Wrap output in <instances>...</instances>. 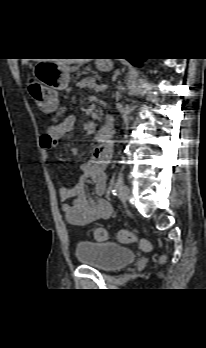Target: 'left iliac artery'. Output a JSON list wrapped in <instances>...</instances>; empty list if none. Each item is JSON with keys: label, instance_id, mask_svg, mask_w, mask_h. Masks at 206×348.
I'll use <instances>...</instances> for the list:
<instances>
[{"label": "left iliac artery", "instance_id": "1", "mask_svg": "<svg viewBox=\"0 0 206 348\" xmlns=\"http://www.w3.org/2000/svg\"><path fill=\"white\" fill-rule=\"evenodd\" d=\"M123 185H124V176L120 172L117 176L116 183L114 184V187L112 190L113 195H117L120 192Z\"/></svg>", "mask_w": 206, "mask_h": 348}]
</instances>
